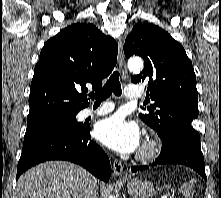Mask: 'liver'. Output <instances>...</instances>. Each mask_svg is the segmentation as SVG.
Instances as JSON below:
<instances>
[{"mask_svg":"<svg viewBox=\"0 0 221 198\" xmlns=\"http://www.w3.org/2000/svg\"><path fill=\"white\" fill-rule=\"evenodd\" d=\"M92 175L66 161L39 164L17 182L15 198H86Z\"/></svg>","mask_w":221,"mask_h":198,"instance_id":"1","label":"liver"}]
</instances>
